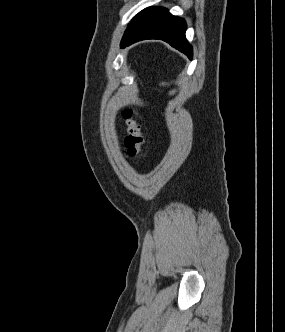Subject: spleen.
Here are the masks:
<instances>
[{
  "label": "spleen",
  "mask_w": 285,
  "mask_h": 332,
  "mask_svg": "<svg viewBox=\"0 0 285 332\" xmlns=\"http://www.w3.org/2000/svg\"><path fill=\"white\" fill-rule=\"evenodd\" d=\"M162 84H164V83H162ZM174 93H175V91H174V90L170 92V94H171V95H172V94H174Z\"/></svg>",
  "instance_id": "spleen-1"
}]
</instances>
